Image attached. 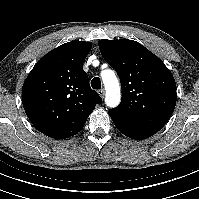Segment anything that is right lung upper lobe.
<instances>
[{
    "label": "right lung upper lobe",
    "mask_w": 199,
    "mask_h": 199,
    "mask_svg": "<svg viewBox=\"0 0 199 199\" xmlns=\"http://www.w3.org/2000/svg\"><path fill=\"white\" fill-rule=\"evenodd\" d=\"M90 42L65 43L43 56L22 87L24 110L46 136L65 139L78 133L101 97L90 88L83 62Z\"/></svg>",
    "instance_id": "1"
}]
</instances>
